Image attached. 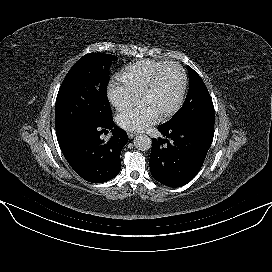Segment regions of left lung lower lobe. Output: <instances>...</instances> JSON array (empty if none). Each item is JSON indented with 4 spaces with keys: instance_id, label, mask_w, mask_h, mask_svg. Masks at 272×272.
<instances>
[{
    "instance_id": "0a47b994",
    "label": "left lung lower lobe",
    "mask_w": 272,
    "mask_h": 272,
    "mask_svg": "<svg viewBox=\"0 0 272 272\" xmlns=\"http://www.w3.org/2000/svg\"><path fill=\"white\" fill-rule=\"evenodd\" d=\"M166 137L152 139L149 160L152 176L169 187L190 182L203 165L214 136V124L160 125Z\"/></svg>"
}]
</instances>
